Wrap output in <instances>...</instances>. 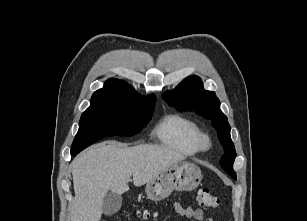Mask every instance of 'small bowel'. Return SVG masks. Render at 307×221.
Instances as JSON below:
<instances>
[{
	"mask_svg": "<svg viewBox=\"0 0 307 221\" xmlns=\"http://www.w3.org/2000/svg\"><path fill=\"white\" fill-rule=\"evenodd\" d=\"M176 213L187 218H194L196 221H213L212 219H206L201 209H192L190 207H184L178 203L174 204Z\"/></svg>",
	"mask_w": 307,
	"mask_h": 221,
	"instance_id": "1",
	"label": "small bowel"
}]
</instances>
